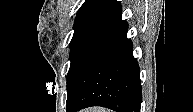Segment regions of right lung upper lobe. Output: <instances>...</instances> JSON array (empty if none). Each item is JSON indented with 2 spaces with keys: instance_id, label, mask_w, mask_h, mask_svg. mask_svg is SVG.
<instances>
[{
  "instance_id": "cb5924a9",
  "label": "right lung upper lobe",
  "mask_w": 193,
  "mask_h": 112,
  "mask_svg": "<svg viewBox=\"0 0 193 112\" xmlns=\"http://www.w3.org/2000/svg\"><path fill=\"white\" fill-rule=\"evenodd\" d=\"M121 15V3L117 0H86L77 12L74 29L94 28L118 33L128 27Z\"/></svg>"
}]
</instances>
